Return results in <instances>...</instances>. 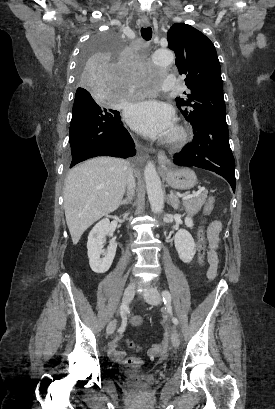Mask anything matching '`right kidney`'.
Returning <instances> with one entry per match:
<instances>
[{"instance_id":"1","label":"right kidney","mask_w":275,"mask_h":409,"mask_svg":"<svg viewBox=\"0 0 275 409\" xmlns=\"http://www.w3.org/2000/svg\"><path fill=\"white\" fill-rule=\"evenodd\" d=\"M114 231L110 229L109 219H102L99 221L92 231L89 233L87 243V255L89 259V265L94 273H106L109 271L113 259L116 255L117 243L115 239L110 241L108 249H103L105 243V237L110 235L112 237ZM101 255H104L101 259Z\"/></svg>"}]
</instances>
